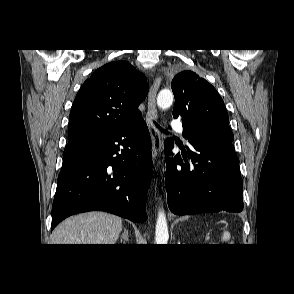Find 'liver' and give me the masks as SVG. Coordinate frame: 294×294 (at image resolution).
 I'll return each mask as SVG.
<instances>
[{"label": "liver", "instance_id": "1", "mask_svg": "<svg viewBox=\"0 0 294 294\" xmlns=\"http://www.w3.org/2000/svg\"><path fill=\"white\" fill-rule=\"evenodd\" d=\"M122 231L118 216L94 211L64 220L53 231L52 244H115Z\"/></svg>", "mask_w": 294, "mask_h": 294}]
</instances>
